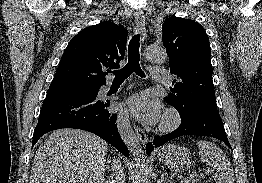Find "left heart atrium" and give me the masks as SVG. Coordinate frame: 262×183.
<instances>
[{
  "label": "left heart atrium",
  "mask_w": 262,
  "mask_h": 183,
  "mask_svg": "<svg viewBox=\"0 0 262 183\" xmlns=\"http://www.w3.org/2000/svg\"><path fill=\"white\" fill-rule=\"evenodd\" d=\"M132 115L144 124H156L161 118V106L158 101L150 100L144 94H137L127 102Z\"/></svg>",
  "instance_id": "1"
}]
</instances>
